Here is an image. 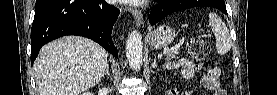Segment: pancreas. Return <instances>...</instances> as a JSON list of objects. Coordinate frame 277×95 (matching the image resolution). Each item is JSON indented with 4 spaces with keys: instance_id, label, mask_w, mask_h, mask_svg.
<instances>
[{
    "instance_id": "1",
    "label": "pancreas",
    "mask_w": 277,
    "mask_h": 95,
    "mask_svg": "<svg viewBox=\"0 0 277 95\" xmlns=\"http://www.w3.org/2000/svg\"><path fill=\"white\" fill-rule=\"evenodd\" d=\"M177 54H178V48L171 49V50L167 53L166 59H167V60L174 59V58L176 57Z\"/></svg>"
}]
</instances>
